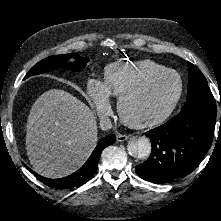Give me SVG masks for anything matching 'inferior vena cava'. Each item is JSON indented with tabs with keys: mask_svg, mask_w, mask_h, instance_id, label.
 I'll use <instances>...</instances> for the list:
<instances>
[{
	"mask_svg": "<svg viewBox=\"0 0 221 221\" xmlns=\"http://www.w3.org/2000/svg\"><path fill=\"white\" fill-rule=\"evenodd\" d=\"M100 127L102 130H109L112 128L111 120L108 117L102 118L100 120Z\"/></svg>",
	"mask_w": 221,
	"mask_h": 221,
	"instance_id": "obj_1",
	"label": "inferior vena cava"
}]
</instances>
